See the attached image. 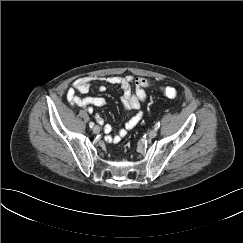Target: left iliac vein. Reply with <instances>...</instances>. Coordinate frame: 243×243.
I'll use <instances>...</instances> for the list:
<instances>
[{
    "label": "left iliac vein",
    "instance_id": "left-iliac-vein-1",
    "mask_svg": "<svg viewBox=\"0 0 243 243\" xmlns=\"http://www.w3.org/2000/svg\"><path fill=\"white\" fill-rule=\"evenodd\" d=\"M149 138H155L157 136V130L156 129H152L149 133H148Z\"/></svg>",
    "mask_w": 243,
    "mask_h": 243
}]
</instances>
